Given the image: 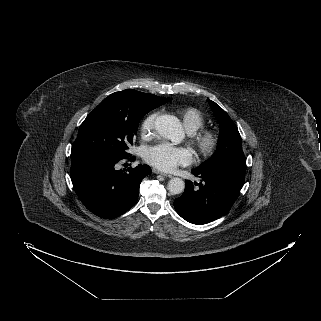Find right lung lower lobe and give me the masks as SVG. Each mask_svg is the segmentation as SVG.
<instances>
[{
    "instance_id": "98d812e1",
    "label": "right lung lower lobe",
    "mask_w": 321,
    "mask_h": 321,
    "mask_svg": "<svg viewBox=\"0 0 321 321\" xmlns=\"http://www.w3.org/2000/svg\"><path fill=\"white\" fill-rule=\"evenodd\" d=\"M133 161L135 157H127ZM96 155L71 157V180L84 206L95 215L111 219L128 211L137 201L142 179L151 173L148 165L116 170L121 161Z\"/></svg>"
}]
</instances>
